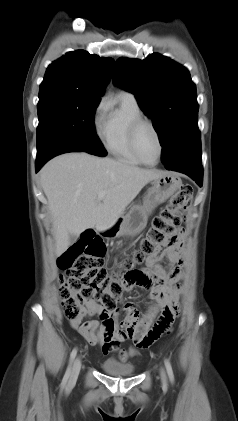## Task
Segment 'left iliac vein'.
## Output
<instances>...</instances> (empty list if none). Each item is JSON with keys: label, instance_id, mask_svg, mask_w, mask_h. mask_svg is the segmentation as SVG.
Wrapping results in <instances>:
<instances>
[{"label": "left iliac vein", "instance_id": "obj_1", "mask_svg": "<svg viewBox=\"0 0 238 421\" xmlns=\"http://www.w3.org/2000/svg\"><path fill=\"white\" fill-rule=\"evenodd\" d=\"M160 375H161V380H162V382H163L164 384H166V383H167V377H166L165 370H164L163 368L161 369Z\"/></svg>", "mask_w": 238, "mask_h": 421}]
</instances>
